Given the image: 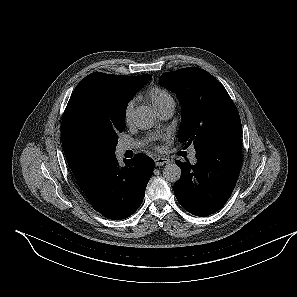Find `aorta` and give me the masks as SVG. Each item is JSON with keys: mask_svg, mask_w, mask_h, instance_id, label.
Here are the masks:
<instances>
[{"mask_svg": "<svg viewBox=\"0 0 297 297\" xmlns=\"http://www.w3.org/2000/svg\"><path fill=\"white\" fill-rule=\"evenodd\" d=\"M133 121L140 129L151 128L156 121L155 111L149 106H139L133 113ZM163 176L166 181L175 183L181 177V169L177 164L169 163L163 169Z\"/></svg>", "mask_w": 297, "mask_h": 297, "instance_id": "aorta-1", "label": "aorta"}]
</instances>
